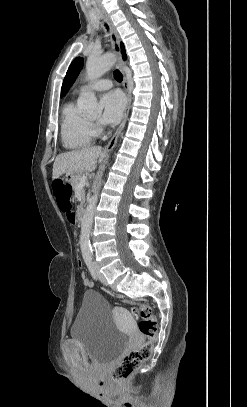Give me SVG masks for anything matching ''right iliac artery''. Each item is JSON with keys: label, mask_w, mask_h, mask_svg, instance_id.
Returning a JSON list of instances; mask_svg holds the SVG:
<instances>
[{"label": "right iliac artery", "mask_w": 247, "mask_h": 407, "mask_svg": "<svg viewBox=\"0 0 247 407\" xmlns=\"http://www.w3.org/2000/svg\"><path fill=\"white\" fill-rule=\"evenodd\" d=\"M85 263H86V265H87L93 279L97 280L98 276H97V273H96L95 268L93 266L92 258L91 257H86L85 258Z\"/></svg>", "instance_id": "obj_1"}]
</instances>
